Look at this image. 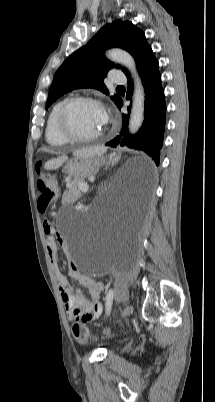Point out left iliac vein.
<instances>
[{
  "mask_svg": "<svg viewBox=\"0 0 215 402\" xmlns=\"http://www.w3.org/2000/svg\"><path fill=\"white\" fill-rule=\"evenodd\" d=\"M134 309L132 305H127L124 310L121 313V317L125 318L127 316H130L133 313Z\"/></svg>",
  "mask_w": 215,
  "mask_h": 402,
  "instance_id": "4c4485c4",
  "label": "left iliac vein"
}]
</instances>
